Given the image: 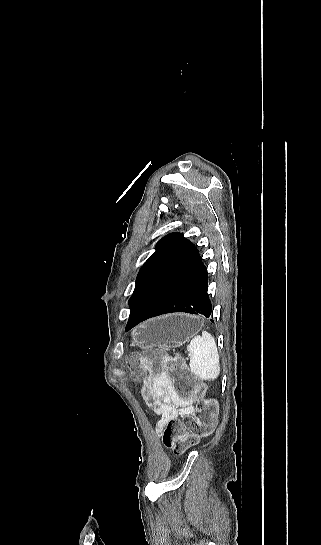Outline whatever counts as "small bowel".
Listing matches in <instances>:
<instances>
[{"instance_id": "small-bowel-1", "label": "small bowel", "mask_w": 321, "mask_h": 545, "mask_svg": "<svg viewBox=\"0 0 321 545\" xmlns=\"http://www.w3.org/2000/svg\"><path fill=\"white\" fill-rule=\"evenodd\" d=\"M142 395L148 406L160 416L156 425L158 434L169 420L187 417L194 411L193 399L180 397L168 378H145Z\"/></svg>"}]
</instances>
